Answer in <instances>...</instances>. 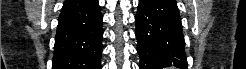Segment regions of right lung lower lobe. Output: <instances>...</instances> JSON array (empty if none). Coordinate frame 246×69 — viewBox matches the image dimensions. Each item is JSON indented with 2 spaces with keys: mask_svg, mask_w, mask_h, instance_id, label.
Here are the masks:
<instances>
[{
  "mask_svg": "<svg viewBox=\"0 0 246 69\" xmlns=\"http://www.w3.org/2000/svg\"><path fill=\"white\" fill-rule=\"evenodd\" d=\"M102 35L97 0H66L58 19L53 69H101Z\"/></svg>",
  "mask_w": 246,
  "mask_h": 69,
  "instance_id": "right-lung-lower-lobe-1",
  "label": "right lung lower lobe"
}]
</instances>
